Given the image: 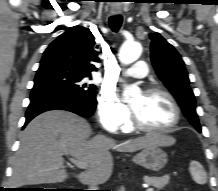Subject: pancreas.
<instances>
[{
    "label": "pancreas",
    "mask_w": 218,
    "mask_h": 191,
    "mask_svg": "<svg viewBox=\"0 0 218 191\" xmlns=\"http://www.w3.org/2000/svg\"><path fill=\"white\" fill-rule=\"evenodd\" d=\"M169 180H170L169 175H164L162 177H148V176L144 177V182L146 184L152 185L158 190H160L164 186H166L168 184Z\"/></svg>",
    "instance_id": "obj_1"
}]
</instances>
